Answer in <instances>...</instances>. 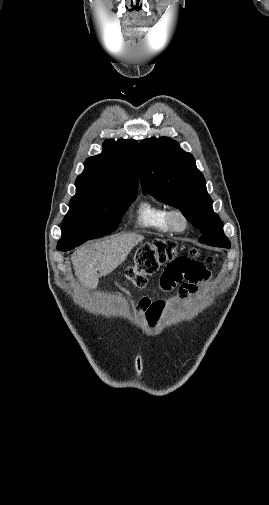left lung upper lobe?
Returning a JSON list of instances; mask_svg holds the SVG:
<instances>
[{
	"instance_id": "5c2ea615",
	"label": "left lung upper lobe",
	"mask_w": 269,
	"mask_h": 505,
	"mask_svg": "<svg viewBox=\"0 0 269 505\" xmlns=\"http://www.w3.org/2000/svg\"><path fill=\"white\" fill-rule=\"evenodd\" d=\"M140 170L144 193L178 208L203 234L201 243L230 248L223 224L212 209L204 176L190 153L167 137L144 139L140 142Z\"/></svg>"
}]
</instances>
